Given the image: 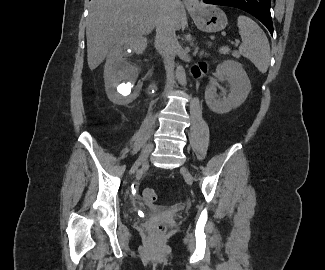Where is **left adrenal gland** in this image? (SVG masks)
<instances>
[{"label":"left adrenal gland","mask_w":325,"mask_h":270,"mask_svg":"<svg viewBox=\"0 0 325 270\" xmlns=\"http://www.w3.org/2000/svg\"><path fill=\"white\" fill-rule=\"evenodd\" d=\"M196 51H198V47L196 48ZM203 55L206 56L207 54L206 53L204 54V51H201L200 54H199V56L202 57Z\"/></svg>","instance_id":"a2214340"}]
</instances>
